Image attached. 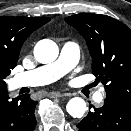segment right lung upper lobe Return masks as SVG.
I'll use <instances>...</instances> for the list:
<instances>
[{"label": "right lung upper lobe", "mask_w": 131, "mask_h": 131, "mask_svg": "<svg viewBox=\"0 0 131 131\" xmlns=\"http://www.w3.org/2000/svg\"><path fill=\"white\" fill-rule=\"evenodd\" d=\"M49 21L47 17H0V62L17 63L26 38Z\"/></svg>", "instance_id": "1"}]
</instances>
